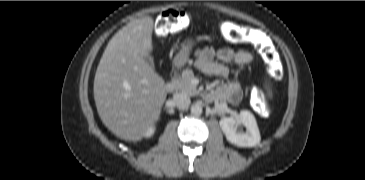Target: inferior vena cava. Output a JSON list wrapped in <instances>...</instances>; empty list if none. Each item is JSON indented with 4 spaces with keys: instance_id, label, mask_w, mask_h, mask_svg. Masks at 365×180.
Masks as SVG:
<instances>
[{
    "instance_id": "obj_1",
    "label": "inferior vena cava",
    "mask_w": 365,
    "mask_h": 180,
    "mask_svg": "<svg viewBox=\"0 0 365 180\" xmlns=\"http://www.w3.org/2000/svg\"><path fill=\"white\" fill-rule=\"evenodd\" d=\"M172 101L174 105L181 110L187 109L191 103L189 96L184 93L174 94Z\"/></svg>"
}]
</instances>
